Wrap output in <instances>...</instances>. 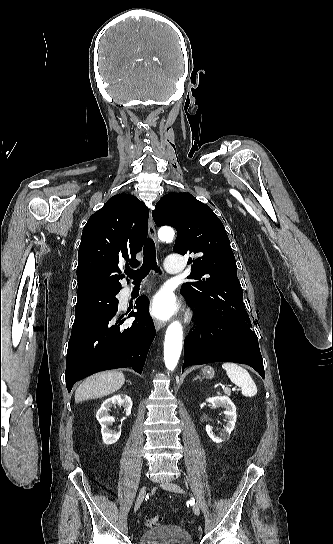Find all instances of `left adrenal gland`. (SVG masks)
<instances>
[{
	"label": "left adrenal gland",
	"mask_w": 333,
	"mask_h": 544,
	"mask_svg": "<svg viewBox=\"0 0 333 544\" xmlns=\"http://www.w3.org/2000/svg\"><path fill=\"white\" fill-rule=\"evenodd\" d=\"M197 379H200V377H199V376H196V378H195L194 380H197Z\"/></svg>",
	"instance_id": "left-adrenal-gland-1"
}]
</instances>
